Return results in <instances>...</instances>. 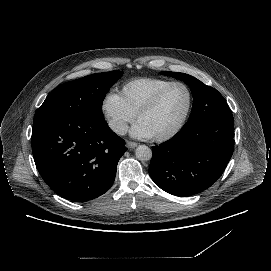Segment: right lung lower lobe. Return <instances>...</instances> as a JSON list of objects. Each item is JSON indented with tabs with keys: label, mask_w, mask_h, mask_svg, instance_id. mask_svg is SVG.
<instances>
[{
	"label": "right lung lower lobe",
	"mask_w": 271,
	"mask_h": 271,
	"mask_svg": "<svg viewBox=\"0 0 271 271\" xmlns=\"http://www.w3.org/2000/svg\"><path fill=\"white\" fill-rule=\"evenodd\" d=\"M32 152L46 184L76 202L92 200L112 186L125 142L104 119L50 116L34 122Z\"/></svg>",
	"instance_id": "1"
}]
</instances>
